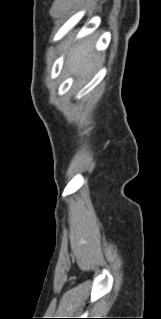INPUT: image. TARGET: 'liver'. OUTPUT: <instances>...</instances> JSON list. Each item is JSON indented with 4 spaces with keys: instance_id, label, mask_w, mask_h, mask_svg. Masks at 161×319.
Wrapping results in <instances>:
<instances>
[{
    "instance_id": "1",
    "label": "liver",
    "mask_w": 161,
    "mask_h": 319,
    "mask_svg": "<svg viewBox=\"0 0 161 319\" xmlns=\"http://www.w3.org/2000/svg\"><path fill=\"white\" fill-rule=\"evenodd\" d=\"M97 60L98 57L93 54V44L89 40H84L71 50L66 64L71 73L85 77L92 72Z\"/></svg>"
}]
</instances>
